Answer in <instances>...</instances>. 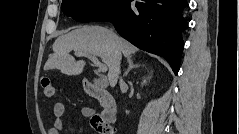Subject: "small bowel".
Segmentation results:
<instances>
[{"instance_id": "obj_1", "label": "small bowel", "mask_w": 239, "mask_h": 134, "mask_svg": "<svg viewBox=\"0 0 239 134\" xmlns=\"http://www.w3.org/2000/svg\"><path fill=\"white\" fill-rule=\"evenodd\" d=\"M65 113V106L61 102H57L53 106V114L55 116L54 124L48 130V134H62L63 133V121L62 117ZM82 115L86 118H90L94 115V110L90 107H84L82 109Z\"/></svg>"}]
</instances>
